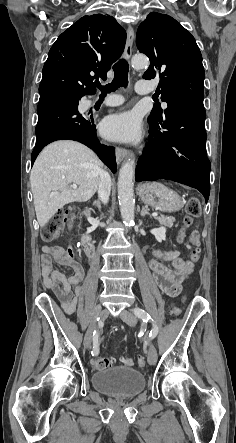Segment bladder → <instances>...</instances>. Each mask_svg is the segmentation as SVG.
<instances>
[{
    "instance_id": "obj_1",
    "label": "bladder",
    "mask_w": 236,
    "mask_h": 443,
    "mask_svg": "<svg viewBox=\"0 0 236 443\" xmlns=\"http://www.w3.org/2000/svg\"><path fill=\"white\" fill-rule=\"evenodd\" d=\"M93 387L114 398H133L145 388L144 375L129 367L102 369L92 376Z\"/></svg>"
}]
</instances>
